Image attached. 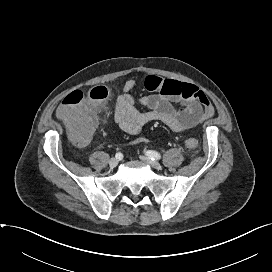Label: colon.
Segmentation results:
<instances>
[{
	"label": "colon",
	"mask_w": 272,
	"mask_h": 272,
	"mask_svg": "<svg viewBox=\"0 0 272 272\" xmlns=\"http://www.w3.org/2000/svg\"><path fill=\"white\" fill-rule=\"evenodd\" d=\"M109 94L107 88L100 86L88 93L74 91L62 101L59 117L78 145H84L90 140L95 128L97 108L109 97ZM185 145L189 149H195L199 146V141L196 138H187Z\"/></svg>",
	"instance_id": "1"
}]
</instances>
